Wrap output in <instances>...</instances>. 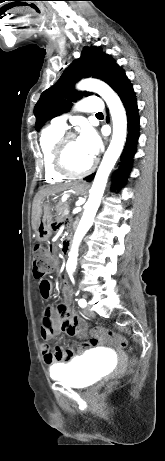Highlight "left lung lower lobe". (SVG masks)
Masks as SVG:
<instances>
[{"mask_svg": "<svg viewBox=\"0 0 165 461\" xmlns=\"http://www.w3.org/2000/svg\"><path fill=\"white\" fill-rule=\"evenodd\" d=\"M112 88L119 95L123 102L128 121L127 142L121 155L120 167L117 170L119 175L115 174L114 176V182H117V187H121V184L124 183L128 177L129 171L131 169L132 158L135 154V147L139 136V115L133 87L124 71L117 76L112 85ZM94 176L95 174H91L87 176L85 180L90 182ZM112 190L115 189L112 188Z\"/></svg>", "mask_w": 165, "mask_h": 461, "instance_id": "0a47b994", "label": "left lung lower lobe"}]
</instances>
